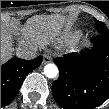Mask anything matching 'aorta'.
<instances>
[{"label": "aorta", "instance_id": "1", "mask_svg": "<svg viewBox=\"0 0 109 109\" xmlns=\"http://www.w3.org/2000/svg\"><path fill=\"white\" fill-rule=\"evenodd\" d=\"M44 74L48 78H55L58 75V68L55 64H47L44 67Z\"/></svg>", "mask_w": 109, "mask_h": 109}]
</instances>
